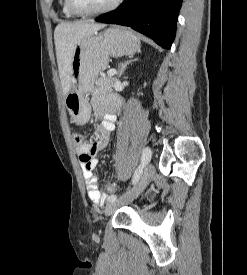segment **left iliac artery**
Here are the masks:
<instances>
[{
    "label": "left iliac artery",
    "instance_id": "obj_1",
    "mask_svg": "<svg viewBox=\"0 0 247 275\" xmlns=\"http://www.w3.org/2000/svg\"><path fill=\"white\" fill-rule=\"evenodd\" d=\"M151 154H152V152H151L150 148H148V147L144 148L142 158H141V163L138 166V168L135 170V173H134L133 178H132V184L133 185H136V183L139 181L144 167L149 163V161L151 159ZM107 200L109 202H113V201L117 200V196L112 194L108 197Z\"/></svg>",
    "mask_w": 247,
    "mask_h": 275
}]
</instances>
